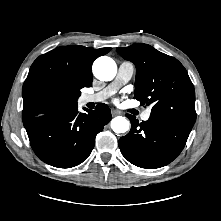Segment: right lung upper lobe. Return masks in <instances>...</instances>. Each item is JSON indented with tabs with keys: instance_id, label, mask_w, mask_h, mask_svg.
<instances>
[{
	"instance_id": "cb5924a9",
	"label": "right lung upper lobe",
	"mask_w": 221,
	"mask_h": 221,
	"mask_svg": "<svg viewBox=\"0 0 221 221\" xmlns=\"http://www.w3.org/2000/svg\"><path fill=\"white\" fill-rule=\"evenodd\" d=\"M111 48L63 46L39 56L24 82L23 123L76 103V91L92 85V64Z\"/></svg>"
}]
</instances>
